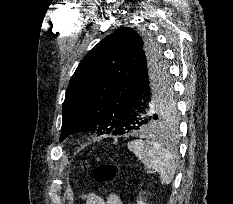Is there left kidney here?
I'll list each match as a JSON object with an SVG mask.
<instances>
[{
  "instance_id": "5707ae66",
  "label": "left kidney",
  "mask_w": 233,
  "mask_h": 204,
  "mask_svg": "<svg viewBox=\"0 0 233 204\" xmlns=\"http://www.w3.org/2000/svg\"><path fill=\"white\" fill-rule=\"evenodd\" d=\"M137 204H146V203H143L141 200L137 202Z\"/></svg>"
}]
</instances>
